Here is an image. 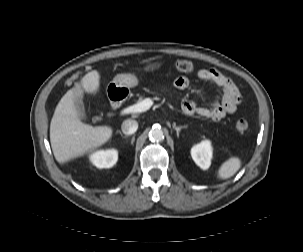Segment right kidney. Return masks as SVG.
Returning <instances> with one entry per match:
<instances>
[{
	"mask_svg": "<svg viewBox=\"0 0 303 252\" xmlns=\"http://www.w3.org/2000/svg\"><path fill=\"white\" fill-rule=\"evenodd\" d=\"M118 160V152L115 149L97 151L90 156V161L97 168H111Z\"/></svg>",
	"mask_w": 303,
	"mask_h": 252,
	"instance_id": "ca27d5eb",
	"label": "right kidney"
}]
</instances>
